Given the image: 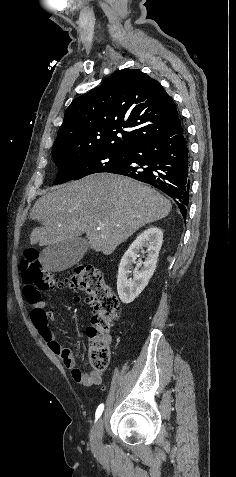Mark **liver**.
<instances>
[{
  "label": "liver",
  "instance_id": "obj_1",
  "mask_svg": "<svg viewBox=\"0 0 236 477\" xmlns=\"http://www.w3.org/2000/svg\"><path fill=\"white\" fill-rule=\"evenodd\" d=\"M171 208L169 200L147 185L116 174H94L54 187L36 201L30 218L42 227L33 229L30 243L52 245L85 233L91 249L110 255Z\"/></svg>",
  "mask_w": 236,
  "mask_h": 477
}]
</instances>
